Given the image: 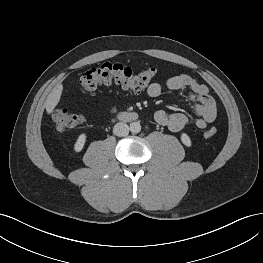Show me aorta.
<instances>
[{"label":"aorta","instance_id":"aorta-1","mask_svg":"<svg viewBox=\"0 0 263 263\" xmlns=\"http://www.w3.org/2000/svg\"><path fill=\"white\" fill-rule=\"evenodd\" d=\"M130 131L132 133H139L141 131V125L139 122L130 123Z\"/></svg>","mask_w":263,"mask_h":263}]
</instances>
